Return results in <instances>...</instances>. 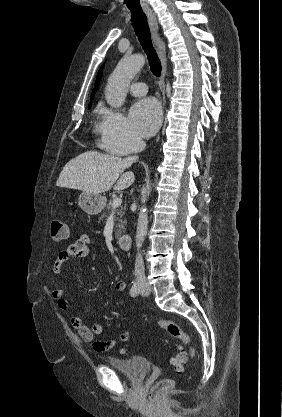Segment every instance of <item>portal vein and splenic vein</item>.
I'll use <instances>...</instances> for the list:
<instances>
[{
    "label": "portal vein and splenic vein",
    "mask_w": 282,
    "mask_h": 417,
    "mask_svg": "<svg viewBox=\"0 0 282 417\" xmlns=\"http://www.w3.org/2000/svg\"><path fill=\"white\" fill-rule=\"evenodd\" d=\"M121 202H122V198H113L112 206L114 207L115 210L117 209L116 206H119Z\"/></svg>",
    "instance_id": "portal-vein-and-splenic-vein-1"
}]
</instances>
